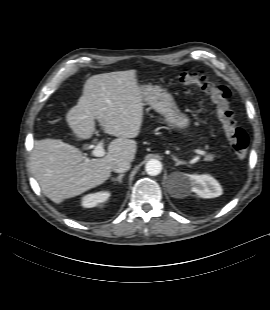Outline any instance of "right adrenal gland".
Instances as JSON below:
<instances>
[{
  "mask_svg": "<svg viewBox=\"0 0 270 310\" xmlns=\"http://www.w3.org/2000/svg\"><path fill=\"white\" fill-rule=\"evenodd\" d=\"M124 177V174H120L117 178H111L112 181H118L119 183H122V178Z\"/></svg>",
  "mask_w": 270,
  "mask_h": 310,
  "instance_id": "obj_1",
  "label": "right adrenal gland"
}]
</instances>
